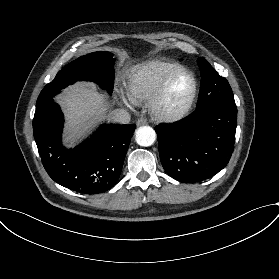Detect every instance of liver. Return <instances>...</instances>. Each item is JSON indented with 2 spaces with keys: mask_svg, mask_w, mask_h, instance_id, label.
<instances>
[{
  "mask_svg": "<svg viewBox=\"0 0 279 279\" xmlns=\"http://www.w3.org/2000/svg\"><path fill=\"white\" fill-rule=\"evenodd\" d=\"M54 100L65 114L63 143L67 148L73 147L92 128L109 118L110 104L92 82H77L65 88Z\"/></svg>",
  "mask_w": 279,
  "mask_h": 279,
  "instance_id": "6515ba94",
  "label": "liver"
}]
</instances>
